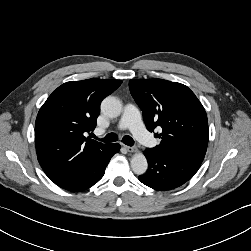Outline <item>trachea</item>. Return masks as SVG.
I'll use <instances>...</instances> for the list:
<instances>
[{"instance_id": "obj_1", "label": "trachea", "mask_w": 251, "mask_h": 251, "mask_svg": "<svg viewBox=\"0 0 251 251\" xmlns=\"http://www.w3.org/2000/svg\"><path fill=\"white\" fill-rule=\"evenodd\" d=\"M103 142H115L118 140V136L115 133H109L104 138L101 139ZM122 142L128 146L134 145V140L130 136H124Z\"/></svg>"}]
</instances>
